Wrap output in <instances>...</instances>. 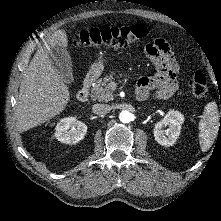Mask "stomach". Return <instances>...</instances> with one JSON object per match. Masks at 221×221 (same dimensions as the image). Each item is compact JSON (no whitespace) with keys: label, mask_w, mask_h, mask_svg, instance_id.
<instances>
[{"label":"stomach","mask_w":221,"mask_h":221,"mask_svg":"<svg viewBox=\"0 0 221 221\" xmlns=\"http://www.w3.org/2000/svg\"><path fill=\"white\" fill-rule=\"evenodd\" d=\"M104 70V59L100 57L90 68V73L99 76Z\"/></svg>","instance_id":"0dacf381"}]
</instances>
